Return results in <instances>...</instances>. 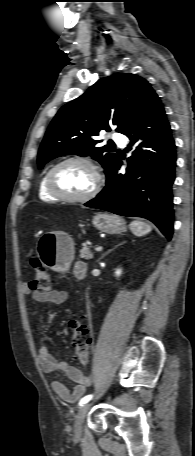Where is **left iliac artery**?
Returning <instances> with one entry per match:
<instances>
[{"label":"left iliac artery","instance_id":"left-iliac-artery-1","mask_svg":"<svg viewBox=\"0 0 195 456\" xmlns=\"http://www.w3.org/2000/svg\"><path fill=\"white\" fill-rule=\"evenodd\" d=\"M92 397H93V395H87V396L83 397L79 402V406H82L83 404H86L87 402H89L92 399Z\"/></svg>","mask_w":195,"mask_h":456}]
</instances>
